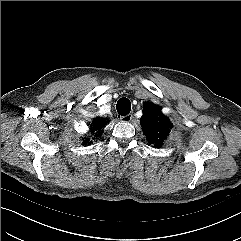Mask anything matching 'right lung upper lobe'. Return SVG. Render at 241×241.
I'll return each instance as SVG.
<instances>
[{
  "label": "right lung upper lobe",
  "instance_id": "right-lung-upper-lobe-1",
  "mask_svg": "<svg viewBox=\"0 0 241 241\" xmlns=\"http://www.w3.org/2000/svg\"><path fill=\"white\" fill-rule=\"evenodd\" d=\"M106 124V119H96L94 122H93V125H92V133H95V135L97 137H99L100 133H102V127H104ZM83 143L84 144H91L92 141H90L89 138H85L83 139Z\"/></svg>",
  "mask_w": 241,
  "mask_h": 241
}]
</instances>
